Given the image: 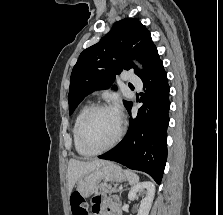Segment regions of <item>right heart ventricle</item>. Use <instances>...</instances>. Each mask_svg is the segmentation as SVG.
I'll return each mask as SVG.
<instances>
[{
	"label": "right heart ventricle",
	"mask_w": 223,
	"mask_h": 215,
	"mask_svg": "<svg viewBox=\"0 0 223 215\" xmlns=\"http://www.w3.org/2000/svg\"><path fill=\"white\" fill-rule=\"evenodd\" d=\"M90 107L91 105L86 104L80 108V110L78 111L74 119V123L72 127V139H73L74 148L79 155L86 156V157H89L91 155L87 153L85 149L81 147L79 143V139H78V130H79V126L83 117L85 116L87 111L90 109Z\"/></svg>",
	"instance_id": "1"
}]
</instances>
